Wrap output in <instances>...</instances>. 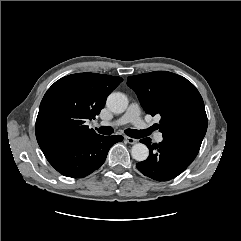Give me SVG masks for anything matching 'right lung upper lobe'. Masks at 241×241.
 Instances as JSON below:
<instances>
[{
	"label": "right lung upper lobe",
	"mask_w": 241,
	"mask_h": 241,
	"mask_svg": "<svg viewBox=\"0 0 241 241\" xmlns=\"http://www.w3.org/2000/svg\"><path fill=\"white\" fill-rule=\"evenodd\" d=\"M122 81L121 77L97 73H77L56 81L44 95L36 120L40 148L97 135L85 122L95 119Z\"/></svg>",
	"instance_id": "cb5924a9"
}]
</instances>
